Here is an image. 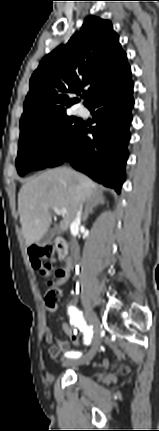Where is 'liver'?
I'll list each match as a JSON object with an SVG mask.
<instances>
[{
  "mask_svg": "<svg viewBox=\"0 0 159 431\" xmlns=\"http://www.w3.org/2000/svg\"><path fill=\"white\" fill-rule=\"evenodd\" d=\"M97 185L89 177L70 168L47 170L29 179L18 194V212L26 245L40 240L49 229L50 209H66L59 227L67 231L80 206L96 193Z\"/></svg>",
  "mask_w": 159,
  "mask_h": 431,
  "instance_id": "6515ba94",
  "label": "liver"
}]
</instances>
